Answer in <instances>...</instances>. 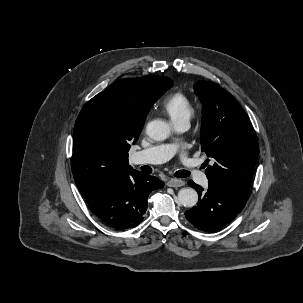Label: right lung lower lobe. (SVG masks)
Wrapping results in <instances>:
<instances>
[{"instance_id":"98d812e1","label":"right lung lower lobe","mask_w":303,"mask_h":303,"mask_svg":"<svg viewBox=\"0 0 303 303\" xmlns=\"http://www.w3.org/2000/svg\"><path fill=\"white\" fill-rule=\"evenodd\" d=\"M163 186L157 177L133 170L98 189L86 202L107 226L127 230L143 220L150 192Z\"/></svg>"}]
</instances>
